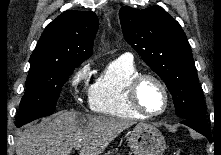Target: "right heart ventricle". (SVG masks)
<instances>
[{
	"label": "right heart ventricle",
	"instance_id": "1",
	"mask_svg": "<svg viewBox=\"0 0 221 155\" xmlns=\"http://www.w3.org/2000/svg\"><path fill=\"white\" fill-rule=\"evenodd\" d=\"M137 74L139 70L131 59L119 57L110 62L90 87L91 110L111 117L144 118L131 108L127 99V86Z\"/></svg>",
	"mask_w": 221,
	"mask_h": 155
}]
</instances>
